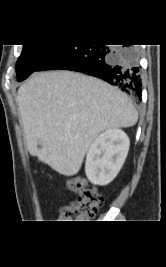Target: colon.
I'll use <instances>...</instances> for the list:
<instances>
[{
    "label": "colon",
    "mask_w": 166,
    "mask_h": 267,
    "mask_svg": "<svg viewBox=\"0 0 166 267\" xmlns=\"http://www.w3.org/2000/svg\"><path fill=\"white\" fill-rule=\"evenodd\" d=\"M71 186L73 191L78 193V197L60 208L58 222L75 223L93 218L103 205L104 197L86 181L75 180Z\"/></svg>",
    "instance_id": "5ec220e1"
}]
</instances>
